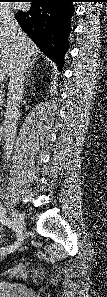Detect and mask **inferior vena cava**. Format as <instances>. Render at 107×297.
<instances>
[{"instance_id":"1","label":"inferior vena cava","mask_w":107,"mask_h":297,"mask_svg":"<svg viewBox=\"0 0 107 297\" xmlns=\"http://www.w3.org/2000/svg\"><path fill=\"white\" fill-rule=\"evenodd\" d=\"M0 31L5 32L12 38H16L19 35V25L11 13L7 12L1 16ZM31 66V58L23 48H19L16 59L13 63V67L9 71V84L7 94V104L4 113V154L5 159L10 158L11 149L13 147L17 122L19 117L20 103L23 97L25 75L27 69Z\"/></svg>"}]
</instances>
